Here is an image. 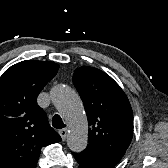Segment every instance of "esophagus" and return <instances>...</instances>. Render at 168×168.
Instances as JSON below:
<instances>
[{"label":"esophagus","mask_w":168,"mask_h":168,"mask_svg":"<svg viewBox=\"0 0 168 168\" xmlns=\"http://www.w3.org/2000/svg\"><path fill=\"white\" fill-rule=\"evenodd\" d=\"M59 134L62 138L63 141H65L67 139L68 136V129L67 128H63L59 131Z\"/></svg>","instance_id":"esophagus-1"}]
</instances>
